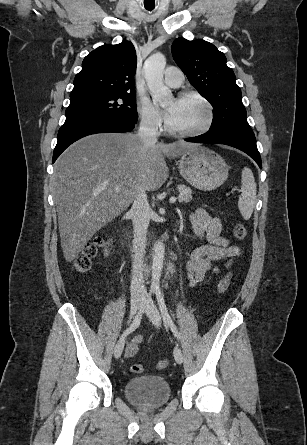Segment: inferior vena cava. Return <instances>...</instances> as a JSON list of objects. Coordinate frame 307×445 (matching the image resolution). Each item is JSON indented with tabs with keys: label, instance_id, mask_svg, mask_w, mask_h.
<instances>
[{
	"label": "inferior vena cava",
	"instance_id": "obj_1",
	"mask_svg": "<svg viewBox=\"0 0 307 445\" xmlns=\"http://www.w3.org/2000/svg\"><path fill=\"white\" fill-rule=\"evenodd\" d=\"M158 128L149 116H142L137 136L146 144L157 142ZM149 202L143 184L139 186L135 200L131 206V216L134 229V265L131 281V303L141 304L146 295L144 277L142 275L143 255L146 247V235L149 227Z\"/></svg>",
	"mask_w": 307,
	"mask_h": 445
}]
</instances>
